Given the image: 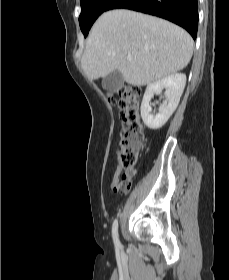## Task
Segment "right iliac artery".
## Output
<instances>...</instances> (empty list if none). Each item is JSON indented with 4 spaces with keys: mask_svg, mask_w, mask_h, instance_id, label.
<instances>
[{
    "mask_svg": "<svg viewBox=\"0 0 229 280\" xmlns=\"http://www.w3.org/2000/svg\"><path fill=\"white\" fill-rule=\"evenodd\" d=\"M112 236L114 240L115 247L117 249L121 248L119 239H118V221L117 219L114 220L113 225H112Z\"/></svg>",
    "mask_w": 229,
    "mask_h": 280,
    "instance_id": "82829eb1",
    "label": "right iliac artery"
}]
</instances>
